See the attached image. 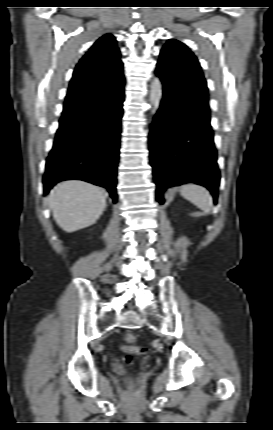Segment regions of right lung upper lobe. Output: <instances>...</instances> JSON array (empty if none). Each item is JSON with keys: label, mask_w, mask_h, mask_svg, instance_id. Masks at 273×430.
Segmentation results:
<instances>
[{"label": "right lung upper lobe", "mask_w": 273, "mask_h": 430, "mask_svg": "<svg viewBox=\"0 0 273 430\" xmlns=\"http://www.w3.org/2000/svg\"><path fill=\"white\" fill-rule=\"evenodd\" d=\"M122 63L116 39L111 34L99 38L75 67L62 117L70 116L90 100V92L108 82H123Z\"/></svg>", "instance_id": "obj_1"}]
</instances>
